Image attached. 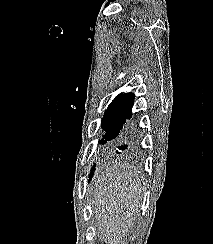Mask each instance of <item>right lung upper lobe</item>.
<instances>
[{
	"mask_svg": "<svg viewBox=\"0 0 213 244\" xmlns=\"http://www.w3.org/2000/svg\"><path fill=\"white\" fill-rule=\"evenodd\" d=\"M117 97H128V98H134V95L132 93H127V94H120Z\"/></svg>",
	"mask_w": 213,
	"mask_h": 244,
	"instance_id": "obj_1",
	"label": "right lung upper lobe"
}]
</instances>
